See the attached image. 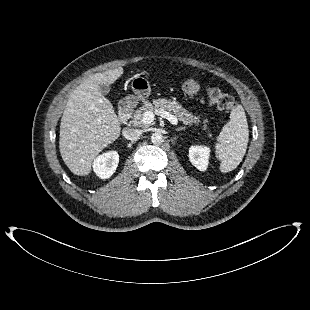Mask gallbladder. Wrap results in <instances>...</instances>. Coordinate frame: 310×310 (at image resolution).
I'll list each match as a JSON object with an SVG mask.
<instances>
[{
	"label": "gallbladder",
	"mask_w": 310,
	"mask_h": 310,
	"mask_svg": "<svg viewBox=\"0 0 310 310\" xmlns=\"http://www.w3.org/2000/svg\"><path fill=\"white\" fill-rule=\"evenodd\" d=\"M99 90L103 95H107L110 92V87L107 84H100Z\"/></svg>",
	"instance_id": "1"
}]
</instances>
